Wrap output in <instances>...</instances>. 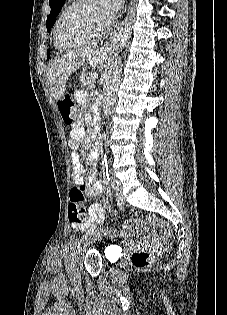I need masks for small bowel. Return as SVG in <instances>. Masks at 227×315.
I'll list each match as a JSON object with an SVG mask.
<instances>
[{
  "instance_id": "obj_1",
  "label": "small bowel",
  "mask_w": 227,
  "mask_h": 315,
  "mask_svg": "<svg viewBox=\"0 0 227 315\" xmlns=\"http://www.w3.org/2000/svg\"><path fill=\"white\" fill-rule=\"evenodd\" d=\"M85 94L83 92H76L75 97L78 100H83L85 98ZM84 130L83 128L76 124L72 127L70 131V139L69 146L71 148V167H72V178L74 184H87L86 195L87 196H95L102 191V185L99 181L96 180V174L94 170V166L96 164L97 152L92 149V143L89 139H84ZM83 144V147L89 149V164L91 166L90 169L85 170L81 157L79 145ZM89 216L88 220L82 224L72 223V227L75 229H85L89 227L91 224H98L99 220L104 218V206L99 204H93L89 206ZM158 242H153L152 246L157 244Z\"/></svg>"
}]
</instances>
